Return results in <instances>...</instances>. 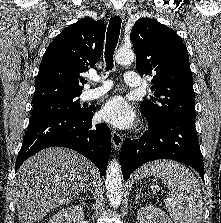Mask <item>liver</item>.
<instances>
[{
	"mask_svg": "<svg viewBox=\"0 0 221 223\" xmlns=\"http://www.w3.org/2000/svg\"><path fill=\"white\" fill-rule=\"evenodd\" d=\"M90 162L77 152L52 147L27 159L16 173L14 198L20 223H39L70 203L90 179Z\"/></svg>",
	"mask_w": 221,
	"mask_h": 223,
	"instance_id": "6515ba94",
	"label": "liver"
}]
</instances>
